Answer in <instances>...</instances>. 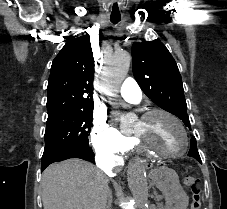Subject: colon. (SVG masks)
<instances>
[{
  "label": "colon",
  "mask_w": 227,
  "mask_h": 209,
  "mask_svg": "<svg viewBox=\"0 0 227 209\" xmlns=\"http://www.w3.org/2000/svg\"><path fill=\"white\" fill-rule=\"evenodd\" d=\"M184 185L192 194L190 209H202V184L200 179L187 177L184 181Z\"/></svg>",
  "instance_id": "5ec220e1"
}]
</instances>
